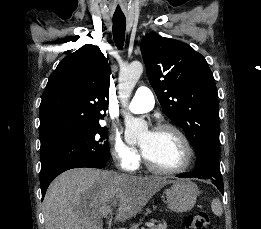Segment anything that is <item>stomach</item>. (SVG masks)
Wrapping results in <instances>:
<instances>
[{"instance_id":"1","label":"stomach","mask_w":261,"mask_h":229,"mask_svg":"<svg viewBox=\"0 0 261 229\" xmlns=\"http://www.w3.org/2000/svg\"><path fill=\"white\" fill-rule=\"evenodd\" d=\"M169 209L174 213H187L194 207L199 189L195 183L181 179V181H174L170 189H166L165 193Z\"/></svg>"}]
</instances>
